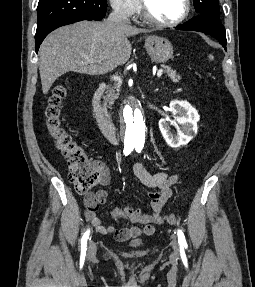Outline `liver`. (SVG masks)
Segmentation results:
<instances>
[{"instance_id":"liver-1","label":"liver","mask_w":255,"mask_h":287,"mask_svg":"<svg viewBox=\"0 0 255 287\" xmlns=\"http://www.w3.org/2000/svg\"><path fill=\"white\" fill-rule=\"evenodd\" d=\"M145 32L150 30L107 22H77L58 28L45 38L39 50L43 94H47L55 80L66 72L100 76L116 66H123L131 56L129 36ZM85 58L101 60V64H84Z\"/></svg>"}]
</instances>
